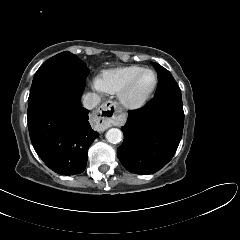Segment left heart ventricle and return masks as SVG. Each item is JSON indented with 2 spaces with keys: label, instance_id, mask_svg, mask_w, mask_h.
<instances>
[{
  "label": "left heart ventricle",
  "instance_id": "left-heart-ventricle-1",
  "mask_svg": "<svg viewBox=\"0 0 240 240\" xmlns=\"http://www.w3.org/2000/svg\"><path fill=\"white\" fill-rule=\"evenodd\" d=\"M154 84V75L151 72L142 74L130 91L129 97L137 100L145 96Z\"/></svg>",
  "mask_w": 240,
  "mask_h": 240
}]
</instances>
